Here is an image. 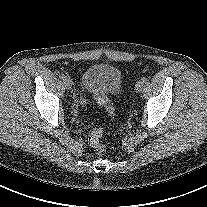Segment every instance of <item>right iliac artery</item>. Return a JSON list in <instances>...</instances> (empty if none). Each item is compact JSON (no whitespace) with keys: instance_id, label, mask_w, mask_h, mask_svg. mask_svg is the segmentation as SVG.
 <instances>
[{"instance_id":"82829eb1","label":"right iliac artery","mask_w":207,"mask_h":207,"mask_svg":"<svg viewBox=\"0 0 207 207\" xmlns=\"http://www.w3.org/2000/svg\"><path fill=\"white\" fill-rule=\"evenodd\" d=\"M59 78L63 80L65 78V75L64 74H60Z\"/></svg>"}]
</instances>
